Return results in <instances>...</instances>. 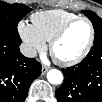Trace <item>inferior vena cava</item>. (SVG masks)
Instances as JSON below:
<instances>
[{
    "label": "inferior vena cava",
    "mask_w": 102,
    "mask_h": 102,
    "mask_svg": "<svg viewBox=\"0 0 102 102\" xmlns=\"http://www.w3.org/2000/svg\"><path fill=\"white\" fill-rule=\"evenodd\" d=\"M20 51L25 57H28V58H34L37 56L36 49L26 43H22L20 45Z\"/></svg>",
    "instance_id": "1"
}]
</instances>
